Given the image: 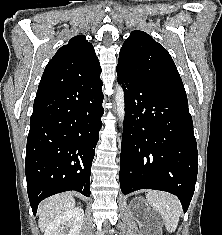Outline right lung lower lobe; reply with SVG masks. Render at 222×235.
<instances>
[{
    "label": "right lung lower lobe",
    "mask_w": 222,
    "mask_h": 235,
    "mask_svg": "<svg viewBox=\"0 0 222 235\" xmlns=\"http://www.w3.org/2000/svg\"><path fill=\"white\" fill-rule=\"evenodd\" d=\"M100 74L66 84L40 83L26 147L33 214L45 198L75 190L90 197L91 165L102 127Z\"/></svg>",
    "instance_id": "1"
}]
</instances>
